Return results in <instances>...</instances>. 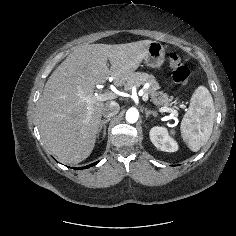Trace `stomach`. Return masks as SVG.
I'll use <instances>...</instances> for the list:
<instances>
[{
	"label": "stomach",
	"instance_id": "1",
	"mask_svg": "<svg viewBox=\"0 0 236 236\" xmlns=\"http://www.w3.org/2000/svg\"><path fill=\"white\" fill-rule=\"evenodd\" d=\"M165 60V49L160 42L152 41L147 48L144 62L152 68L160 67Z\"/></svg>",
	"mask_w": 236,
	"mask_h": 236
}]
</instances>
